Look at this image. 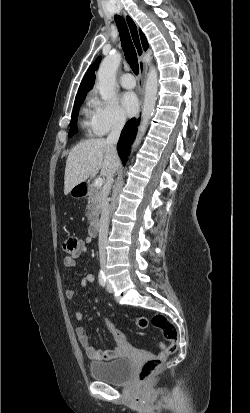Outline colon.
Segmentation results:
<instances>
[{
	"instance_id": "5ec220e1",
	"label": "colon",
	"mask_w": 250,
	"mask_h": 413,
	"mask_svg": "<svg viewBox=\"0 0 250 413\" xmlns=\"http://www.w3.org/2000/svg\"><path fill=\"white\" fill-rule=\"evenodd\" d=\"M63 249L70 255L76 253L79 249V239L75 236L67 237L63 243ZM149 323L161 330L164 339L169 342V345L167 346L161 342V352L143 363L138 374L140 382L143 383L147 382L161 368L167 357L177 350L179 342L176 326L164 315L155 314L150 319L146 316H138L135 318V326L138 329L147 328ZM104 326L115 339L131 340L128 338V335H125L124 332L117 327V324L112 321L111 316H106Z\"/></svg>"
}]
</instances>
